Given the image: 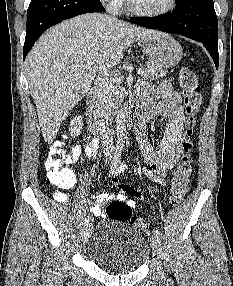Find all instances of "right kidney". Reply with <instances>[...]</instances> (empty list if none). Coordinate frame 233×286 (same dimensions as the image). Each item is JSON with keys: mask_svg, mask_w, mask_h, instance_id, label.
I'll return each instance as SVG.
<instances>
[{"mask_svg": "<svg viewBox=\"0 0 233 286\" xmlns=\"http://www.w3.org/2000/svg\"><path fill=\"white\" fill-rule=\"evenodd\" d=\"M83 126V121L81 116L75 117L70 121L69 131L72 137L79 136Z\"/></svg>", "mask_w": 233, "mask_h": 286, "instance_id": "ca27d5eb", "label": "right kidney"}]
</instances>
